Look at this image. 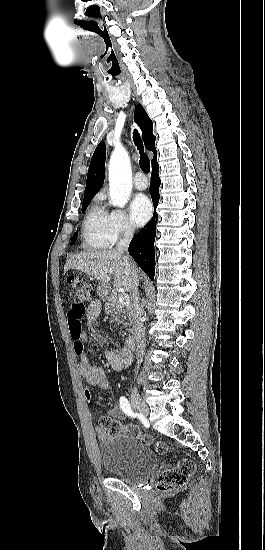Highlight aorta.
<instances>
[{
  "label": "aorta",
  "mask_w": 265,
  "mask_h": 550,
  "mask_svg": "<svg viewBox=\"0 0 265 550\" xmlns=\"http://www.w3.org/2000/svg\"><path fill=\"white\" fill-rule=\"evenodd\" d=\"M110 203L123 208L132 190V172L127 151L116 146L109 163Z\"/></svg>",
  "instance_id": "1"
}]
</instances>
